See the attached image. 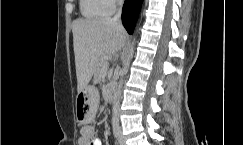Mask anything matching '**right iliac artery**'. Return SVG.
Returning <instances> with one entry per match:
<instances>
[{
  "mask_svg": "<svg viewBox=\"0 0 243 145\" xmlns=\"http://www.w3.org/2000/svg\"><path fill=\"white\" fill-rule=\"evenodd\" d=\"M119 125L117 123H113V134L115 138H118L119 136Z\"/></svg>",
  "mask_w": 243,
  "mask_h": 145,
  "instance_id": "82829eb1",
  "label": "right iliac artery"
}]
</instances>
